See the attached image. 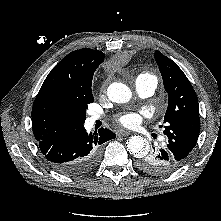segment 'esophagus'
<instances>
[{
    "instance_id": "1",
    "label": "esophagus",
    "mask_w": 221,
    "mask_h": 221,
    "mask_svg": "<svg viewBox=\"0 0 221 221\" xmlns=\"http://www.w3.org/2000/svg\"><path fill=\"white\" fill-rule=\"evenodd\" d=\"M130 134H131V132L127 131V130H120V131L117 132L118 136H123V137L129 136Z\"/></svg>"
}]
</instances>
